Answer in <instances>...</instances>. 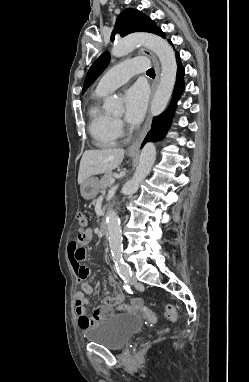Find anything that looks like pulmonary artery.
Returning a JSON list of instances; mask_svg holds the SVG:
<instances>
[{"mask_svg": "<svg viewBox=\"0 0 249 382\" xmlns=\"http://www.w3.org/2000/svg\"><path fill=\"white\" fill-rule=\"evenodd\" d=\"M148 60L136 57L114 65L98 82L97 91L110 93L126 83L135 73L147 69Z\"/></svg>", "mask_w": 249, "mask_h": 382, "instance_id": "pulmonary-artery-1", "label": "pulmonary artery"}]
</instances>
